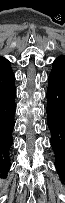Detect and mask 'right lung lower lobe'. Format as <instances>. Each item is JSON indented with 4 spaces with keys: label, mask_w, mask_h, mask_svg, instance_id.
<instances>
[{
    "label": "right lung lower lobe",
    "mask_w": 65,
    "mask_h": 203,
    "mask_svg": "<svg viewBox=\"0 0 65 203\" xmlns=\"http://www.w3.org/2000/svg\"><path fill=\"white\" fill-rule=\"evenodd\" d=\"M15 76L9 66H0V177L6 178L10 169L9 150L13 143L15 105Z\"/></svg>",
    "instance_id": "obj_1"
}]
</instances>
